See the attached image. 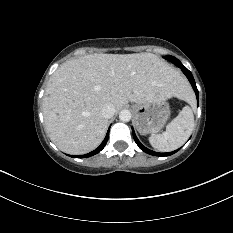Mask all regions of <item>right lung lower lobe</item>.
I'll return each instance as SVG.
<instances>
[{
  "label": "right lung lower lobe",
  "instance_id": "right-lung-lower-lobe-1",
  "mask_svg": "<svg viewBox=\"0 0 233 233\" xmlns=\"http://www.w3.org/2000/svg\"><path fill=\"white\" fill-rule=\"evenodd\" d=\"M109 130H110V128L108 129V132L106 134L105 139L103 140V142L101 143V145L97 149H95L94 151H92V152H90L88 154L78 155V156H73V157H75V158H85V157H90V156H93V155L99 153L105 147V145L107 143L108 136H109Z\"/></svg>",
  "mask_w": 233,
  "mask_h": 233
}]
</instances>
